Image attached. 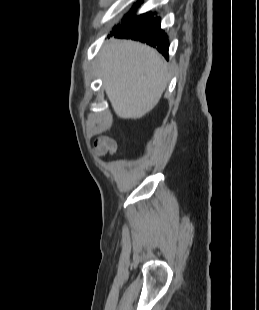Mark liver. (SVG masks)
<instances>
[{
  "label": "liver",
  "mask_w": 259,
  "mask_h": 310,
  "mask_svg": "<svg viewBox=\"0 0 259 310\" xmlns=\"http://www.w3.org/2000/svg\"><path fill=\"white\" fill-rule=\"evenodd\" d=\"M98 59L107 97L118 117L139 119L156 106L167 87L169 71L155 49L113 40L104 45Z\"/></svg>",
  "instance_id": "liver-1"
}]
</instances>
